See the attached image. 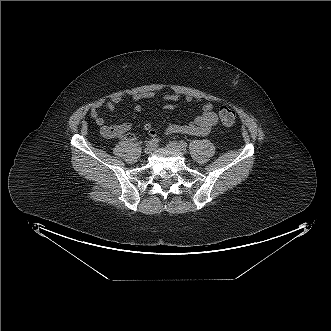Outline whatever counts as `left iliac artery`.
Wrapping results in <instances>:
<instances>
[{
  "mask_svg": "<svg viewBox=\"0 0 331 331\" xmlns=\"http://www.w3.org/2000/svg\"><path fill=\"white\" fill-rule=\"evenodd\" d=\"M179 145H180L182 148H186L188 144H187L185 141H180V142H179Z\"/></svg>",
  "mask_w": 331,
  "mask_h": 331,
  "instance_id": "left-iliac-artery-1",
  "label": "left iliac artery"
}]
</instances>
